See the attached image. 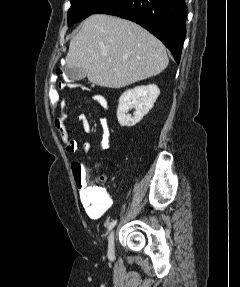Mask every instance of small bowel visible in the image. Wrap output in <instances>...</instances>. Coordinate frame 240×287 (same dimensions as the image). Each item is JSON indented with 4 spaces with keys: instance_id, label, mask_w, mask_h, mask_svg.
I'll return each instance as SVG.
<instances>
[{
    "instance_id": "obj_1",
    "label": "small bowel",
    "mask_w": 240,
    "mask_h": 287,
    "mask_svg": "<svg viewBox=\"0 0 240 287\" xmlns=\"http://www.w3.org/2000/svg\"><path fill=\"white\" fill-rule=\"evenodd\" d=\"M91 98L92 100L97 102L102 108H108L107 99L103 95L95 94ZM77 122L83 128L85 133H91L92 128L86 115L80 114L77 118ZM100 126L102 128L100 149L107 150L110 147V140L108 121L105 117L100 118ZM55 128L59 131L65 152L67 154H74L77 150V143L70 139V133L66 125V119L59 124H55ZM82 149L86 154H89L92 151V145L89 142L85 141L82 144ZM100 181L104 182L105 178L102 177ZM80 200L87 215L94 220L101 218L112 205L111 198L98 188H92L90 192L80 190Z\"/></svg>"
}]
</instances>
